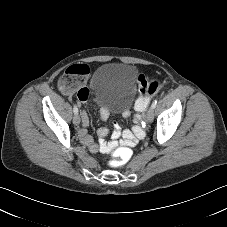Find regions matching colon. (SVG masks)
Listing matches in <instances>:
<instances>
[{
    "label": "colon",
    "instance_id": "1",
    "mask_svg": "<svg viewBox=\"0 0 227 227\" xmlns=\"http://www.w3.org/2000/svg\"><path fill=\"white\" fill-rule=\"evenodd\" d=\"M79 74L74 73V70L66 72L59 80V84L68 92H76L77 98L87 99V91L84 88H80ZM139 95L136 102V108L138 110V117H142V112L146 109L150 98L155 95L161 87L159 79H147L144 76L138 78ZM133 138L127 139V144L131 145ZM110 146L114 149L116 147V141L111 142ZM131 154L128 150L119 149L113 153L112 165L115 167H123L130 161Z\"/></svg>",
    "mask_w": 227,
    "mask_h": 227
}]
</instances>
